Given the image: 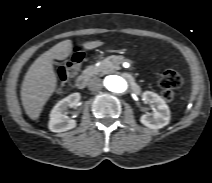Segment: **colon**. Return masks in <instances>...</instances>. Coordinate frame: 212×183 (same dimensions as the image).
Masks as SVG:
<instances>
[{
	"label": "colon",
	"mask_w": 212,
	"mask_h": 183,
	"mask_svg": "<svg viewBox=\"0 0 212 183\" xmlns=\"http://www.w3.org/2000/svg\"><path fill=\"white\" fill-rule=\"evenodd\" d=\"M83 61V54L75 51L68 61L60 64L57 68V88L56 91L61 93L66 84L76 75ZM183 84V77L172 68L166 69L160 78V86L162 88V97L166 101L174 98V90Z\"/></svg>",
	"instance_id": "1"
}]
</instances>
